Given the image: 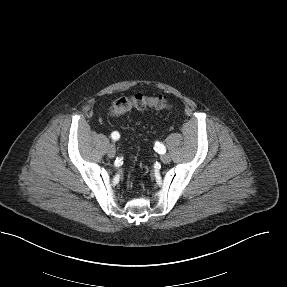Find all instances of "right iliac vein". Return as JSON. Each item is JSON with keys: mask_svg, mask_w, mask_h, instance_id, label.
<instances>
[{"mask_svg": "<svg viewBox=\"0 0 287 287\" xmlns=\"http://www.w3.org/2000/svg\"><path fill=\"white\" fill-rule=\"evenodd\" d=\"M115 154H116L115 147L113 145H110L107 149L108 157L113 158L115 156Z\"/></svg>", "mask_w": 287, "mask_h": 287, "instance_id": "63e3f726", "label": "right iliac vein"}]
</instances>
